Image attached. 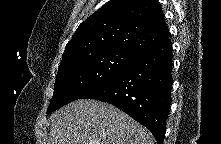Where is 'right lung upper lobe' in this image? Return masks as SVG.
<instances>
[{
    "label": "right lung upper lobe",
    "instance_id": "obj_1",
    "mask_svg": "<svg viewBox=\"0 0 221 144\" xmlns=\"http://www.w3.org/2000/svg\"><path fill=\"white\" fill-rule=\"evenodd\" d=\"M168 37L156 0H111L79 25L60 66L109 50L139 55Z\"/></svg>",
    "mask_w": 221,
    "mask_h": 144
}]
</instances>
